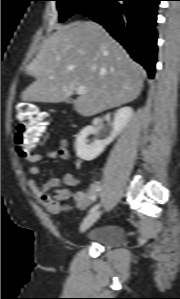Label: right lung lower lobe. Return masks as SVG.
Wrapping results in <instances>:
<instances>
[{
    "label": "right lung lower lobe",
    "instance_id": "1",
    "mask_svg": "<svg viewBox=\"0 0 180 299\" xmlns=\"http://www.w3.org/2000/svg\"><path fill=\"white\" fill-rule=\"evenodd\" d=\"M160 0H104L83 15L104 28L153 78L157 54L156 10Z\"/></svg>",
    "mask_w": 180,
    "mask_h": 299
}]
</instances>
